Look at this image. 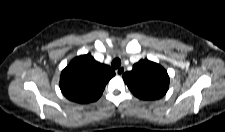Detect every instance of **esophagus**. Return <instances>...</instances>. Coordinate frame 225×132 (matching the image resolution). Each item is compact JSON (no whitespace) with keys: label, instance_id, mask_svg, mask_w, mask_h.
I'll list each match as a JSON object with an SVG mask.
<instances>
[{"label":"esophagus","instance_id":"34e87169","mask_svg":"<svg viewBox=\"0 0 225 132\" xmlns=\"http://www.w3.org/2000/svg\"><path fill=\"white\" fill-rule=\"evenodd\" d=\"M115 72L118 76H122L125 72V67H119Z\"/></svg>","mask_w":225,"mask_h":132}]
</instances>
